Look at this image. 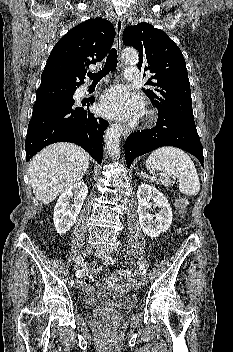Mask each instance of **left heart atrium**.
Masks as SVG:
<instances>
[{"label": "left heart atrium", "mask_w": 233, "mask_h": 352, "mask_svg": "<svg viewBox=\"0 0 233 352\" xmlns=\"http://www.w3.org/2000/svg\"><path fill=\"white\" fill-rule=\"evenodd\" d=\"M141 107V99L120 86L107 90L100 101L102 113L113 118H133L139 113Z\"/></svg>", "instance_id": "obj_1"}]
</instances>
